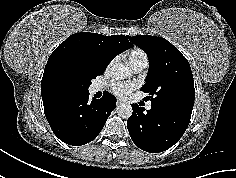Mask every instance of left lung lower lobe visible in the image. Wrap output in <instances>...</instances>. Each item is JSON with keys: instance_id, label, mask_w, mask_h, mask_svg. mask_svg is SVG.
<instances>
[{"instance_id": "0a47b994", "label": "left lung lower lobe", "mask_w": 236, "mask_h": 178, "mask_svg": "<svg viewBox=\"0 0 236 178\" xmlns=\"http://www.w3.org/2000/svg\"><path fill=\"white\" fill-rule=\"evenodd\" d=\"M133 113L127 120L132 141L150 153L163 152L172 147L187 129L192 110L151 104V109L132 104Z\"/></svg>"}]
</instances>
